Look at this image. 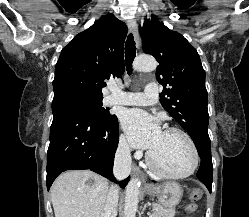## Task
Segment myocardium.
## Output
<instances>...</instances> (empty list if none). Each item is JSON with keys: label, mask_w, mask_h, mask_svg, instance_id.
<instances>
[{"label": "myocardium", "mask_w": 249, "mask_h": 217, "mask_svg": "<svg viewBox=\"0 0 249 217\" xmlns=\"http://www.w3.org/2000/svg\"><path fill=\"white\" fill-rule=\"evenodd\" d=\"M164 132L166 133H178L180 135H182L186 141L188 142L191 151H192V155H193V160H192V165L191 167L183 173H169L166 172L164 170H161L156 163L153 160L151 151H149L146 155V161L147 164L150 168V170L155 173L156 175L162 177V178H166V179H184L187 178L191 175L194 174V172L196 171L198 165H199V152L197 149V146L194 142V140L192 139V137L183 129L178 128V127H168L164 130Z\"/></svg>", "instance_id": "f54148a6"}]
</instances>
